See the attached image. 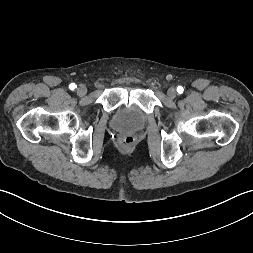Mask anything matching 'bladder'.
<instances>
[{"label":"bladder","mask_w":253,"mask_h":253,"mask_svg":"<svg viewBox=\"0 0 253 253\" xmlns=\"http://www.w3.org/2000/svg\"><path fill=\"white\" fill-rule=\"evenodd\" d=\"M145 114L136 106H123L119 108L114 117V126L123 131H136L143 127Z\"/></svg>","instance_id":"bladder-1"}]
</instances>
